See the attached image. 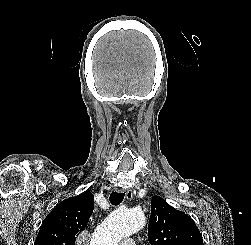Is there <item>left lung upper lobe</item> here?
Listing matches in <instances>:
<instances>
[{"instance_id": "1", "label": "left lung upper lobe", "mask_w": 251, "mask_h": 245, "mask_svg": "<svg viewBox=\"0 0 251 245\" xmlns=\"http://www.w3.org/2000/svg\"><path fill=\"white\" fill-rule=\"evenodd\" d=\"M148 239L151 245H203L194 221L159 196L151 201Z\"/></svg>"}]
</instances>
